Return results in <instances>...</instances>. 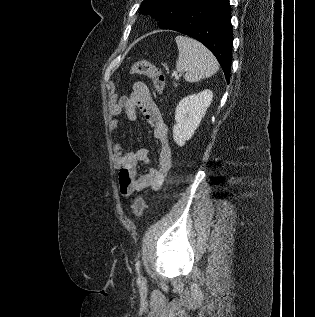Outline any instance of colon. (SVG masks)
I'll return each instance as SVG.
<instances>
[{
    "mask_svg": "<svg viewBox=\"0 0 315 317\" xmlns=\"http://www.w3.org/2000/svg\"><path fill=\"white\" fill-rule=\"evenodd\" d=\"M131 71L134 74L148 77L153 84L154 90L161 94L164 89V75L161 70L153 63L146 60H138L133 63ZM146 202L141 195H137L133 203V214L136 217H141L145 211Z\"/></svg>",
    "mask_w": 315,
    "mask_h": 317,
    "instance_id": "obj_1",
    "label": "colon"
}]
</instances>
